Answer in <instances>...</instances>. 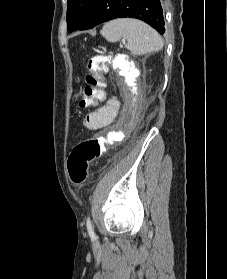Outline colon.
<instances>
[{
  "label": "colon",
  "mask_w": 227,
  "mask_h": 279,
  "mask_svg": "<svg viewBox=\"0 0 227 279\" xmlns=\"http://www.w3.org/2000/svg\"><path fill=\"white\" fill-rule=\"evenodd\" d=\"M87 68L85 87L78 96V104L82 108L92 105L95 100L102 99L107 85L103 58L92 57L88 61ZM111 140L112 132L98 133L73 148L68 159V172L74 184L81 185L86 180L89 163L105 154Z\"/></svg>",
  "instance_id": "1"
}]
</instances>
